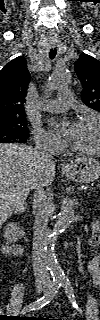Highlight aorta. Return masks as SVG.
Here are the masks:
<instances>
[{
    "mask_svg": "<svg viewBox=\"0 0 100 320\" xmlns=\"http://www.w3.org/2000/svg\"><path fill=\"white\" fill-rule=\"evenodd\" d=\"M70 80V72L67 69H56L52 72L48 86L50 89H56L60 86L66 85ZM74 204L69 198H65L62 201L61 209L58 215V219L53 227V230L49 233L45 244V257L47 267L51 272L53 279L63 280L65 279V274L60 267L56 254L55 246L57 242V237L65 229H67L73 218H74Z\"/></svg>",
    "mask_w": 100,
    "mask_h": 320,
    "instance_id": "obj_1",
    "label": "aorta"
}]
</instances>
